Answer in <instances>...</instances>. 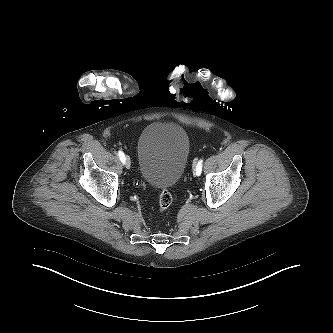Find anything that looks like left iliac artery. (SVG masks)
Instances as JSON below:
<instances>
[{
	"instance_id": "44dca946",
	"label": "left iliac artery",
	"mask_w": 333,
	"mask_h": 333,
	"mask_svg": "<svg viewBox=\"0 0 333 333\" xmlns=\"http://www.w3.org/2000/svg\"><path fill=\"white\" fill-rule=\"evenodd\" d=\"M196 163V162H195ZM202 163H203V160L200 159L197 164H196V168H195V171H196V175L199 176L202 172Z\"/></svg>"
}]
</instances>
